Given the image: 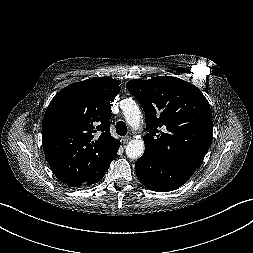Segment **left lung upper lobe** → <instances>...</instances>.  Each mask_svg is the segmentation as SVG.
<instances>
[{"mask_svg": "<svg viewBox=\"0 0 253 253\" xmlns=\"http://www.w3.org/2000/svg\"><path fill=\"white\" fill-rule=\"evenodd\" d=\"M126 86L145 111V152L164 165L199 167L213 138L211 109L202 92L171 76L130 80Z\"/></svg>", "mask_w": 253, "mask_h": 253, "instance_id": "5c2ea615", "label": "left lung upper lobe"}]
</instances>
